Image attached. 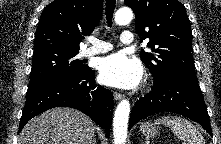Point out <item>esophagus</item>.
<instances>
[{"label": "esophagus", "instance_id": "34e87169", "mask_svg": "<svg viewBox=\"0 0 221 144\" xmlns=\"http://www.w3.org/2000/svg\"><path fill=\"white\" fill-rule=\"evenodd\" d=\"M115 100H121L123 98V95L118 92L113 93Z\"/></svg>", "mask_w": 221, "mask_h": 144}]
</instances>
